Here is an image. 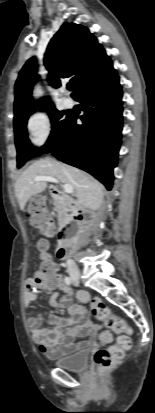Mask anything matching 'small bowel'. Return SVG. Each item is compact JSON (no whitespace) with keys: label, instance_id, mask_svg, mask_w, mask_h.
<instances>
[{"label":"small bowel","instance_id":"c3829d8e","mask_svg":"<svg viewBox=\"0 0 155 413\" xmlns=\"http://www.w3.org/2000/svg\"><path fill=\"white\" fill-rule=\"evenodd\" d=\"M53 232H48L51 235ZM56 281L53 285L47 283V278L41 271H37L34 276L26 280L25 301L29 305L35 301L42 290L57 289L61 293L59 300L57 294L51 300L52 307L65 310L72 318L64 320L53 314H48L46 322L52 327L43 323L41 314L34 313L28 318V325L32 339L39 347L40 351L48 358L56 360L58 358L78 352L94 343V337L98 334L99 340L103 344L112 341V334L105 329L102 324H93L85 306L72 303V289L66 285L63 275L59 272V266L53 263ZM77 299L86 302L89 299L87 291L77 293ZM90 335L86 341L76 342L79 337Z\"/></svg>","mask_w":155,"mask_h":413}]
</instances>
